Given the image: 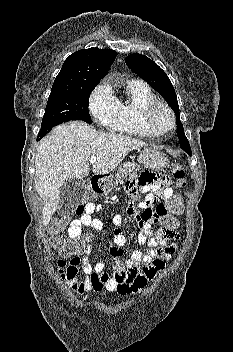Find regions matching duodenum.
Listing matches in <instances>:
<instances>
[{
    "instance_id": "obj_1",
    "label": "duodenum",
    "mask_w": 233,
    "mask_h": 352,
    "mask_svg": "<svg viewBox=\"0 0 233 352\" xmlns=\"http://www.w3.org/2000/svg\"><path fill=\"white\" fill-rule=\"evenodd\" d=\"M103 188V178L101 176H93L91 178V190L95 194L102 193Z\"/></svg>"
}]
</instances>
